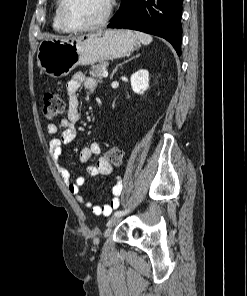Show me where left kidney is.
I'll return each mask as SVG.
<instances>
[{
	"mask_svg": "<svg viewBox=\"0 0 247 296\" xmlns=\"http://www.w3.org/2000/svg\"><path fill=\"white\" fill-rule=\"evenodd\" d=\"M132 90L137 94H143L149 88V73L141 69L131 76Z\"/></svg>",
	"mask_w": 247,
	"mask_h": 296,
	"instance_id": "5707ae66",
	"label": "left kidney"
}]
</instances>
